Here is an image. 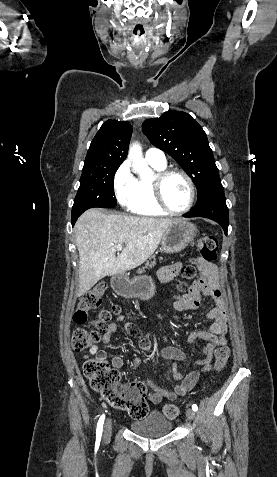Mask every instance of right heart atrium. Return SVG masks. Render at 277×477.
I'll use <instances>...</instances> for the list:
<instances>
[{
  "mask_svg": "<svg viewBox=\"0 0 277 477\" xmlns=\"http://www.w3.org/2000/svg\"><path fill=\"white\" fill-rule=\"evenodd\" d=\"M135 180L130 166L124 162L116 170L113 178V186L119 203L125 207L131 201L134 194Z\"/></svg>",
  "mask_w": 277,
  "mask_h": 477,
  "instance_id": "1",
  "label": "right heart atrium"
}]
</instances>
